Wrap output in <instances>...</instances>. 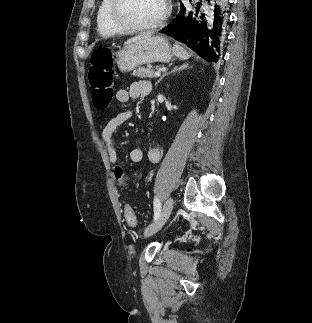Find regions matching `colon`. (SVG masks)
Returning a JSON list of instances; mask_svg holds the SVG:
<instances>
[{
    "instance_id": "colon-1",
    "label": "colon",
    "mask_w": 312,
    "mask_h": 323,
    "mask_svg": "<svg viewBox=\"0 0 312 323\" xmlns=\"http://www.w3.org/2000/svg\"><path fill=\"white\" fill-rule=\"evenodd\" d=\"M113 54L108 47L97 48L91 55V64L89 67V82L92 86V104L96 109H105L109 106L114 87V79L112 73ZM115 172H120L122 167L115 165ZM119 182L124 180L122 175L117 177ZM128 224L135 228L137 226V218L133 210L127 207L125 212Z\"/></svg>"
}]
</instances>
